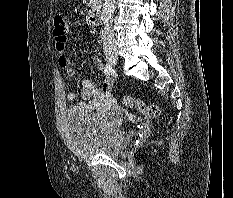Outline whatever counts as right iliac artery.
Instances as JSON below:
<instances>
[{"label": "right iliac artery", "mask_w": 233, "mask_h": 198, "mask_svg": "<svg viewBox=\"0 0 233 198\" xmlns=\"http://www.w3.org/2000/svg\"><path fill=\"white\" fill-rule=\"evenodd\" d=\"M104 73L108 76L113 75L114 74V69L111 66V64L107 63L104 69Z\"/></svg>", "instance_id": "right-iliac-artery-1"}]
</instances>
